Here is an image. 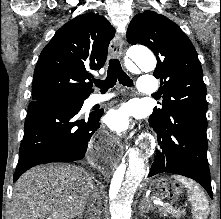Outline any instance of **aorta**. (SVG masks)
<instances>
[{
  "mask_svg": "<svg viewBox=\"0 0 221 219\" xmlns=\"http://www.w3.org/2000/svg\"><path fill=\"white\" fill-rule=\"evenodd\" d=\"M127 57L146 71H152L156 67L153 53L145 47L130 48ZM147 153V149L133 151L129 160L120 164L113 173L109 191L111 219L131 218L135 194L147 173Z\"/></svg>",
  "mask_w": 221,
  "mask_h": 219,
  "instance_id": "obj_1",
  "label": "aorta"
}]
</instances>
